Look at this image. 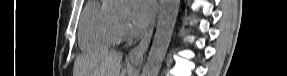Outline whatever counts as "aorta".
I'll return each mask as SVG.
<instances>
[{"label":"aorta","mask_w":287,"mask_h":76,"mask_svg":"<svg viewBox=\"0 0 287 76\" xmlns=\"http://www.w3.org/2000/svg\"><path fill=\"white\" fill-rule=\"evenodd\" d=\"M180 0H161L158 23L141 76H157L165 58L176 23Z\"/></svg>","instance_id":"1"}]
</instances>
